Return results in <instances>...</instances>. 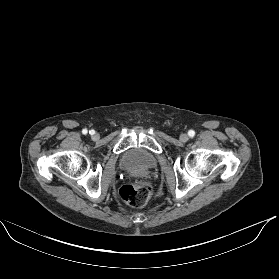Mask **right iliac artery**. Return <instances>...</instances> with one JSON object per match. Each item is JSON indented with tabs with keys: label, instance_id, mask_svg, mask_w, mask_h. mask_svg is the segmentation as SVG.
<instances>
[{
	"label": "right iliac artery",
	"instance_id": "right-iliac-artery-1",
	"mask_svg": "<svg viewBox=\"0 0 279 279\" xmlns=\"http://www.w3.org/2000/svg\"><path fill=\"white\" fill-rule=\"evenodd\" d=\"M82 133H83V134H87V133H88V130H87V129H83V130H82ZM94 133H95L94 130H91V131H90V134L93 135Z\"/></svg>",
	"mask_w": 279,
	"mask_h": 279
}]
</instances>
